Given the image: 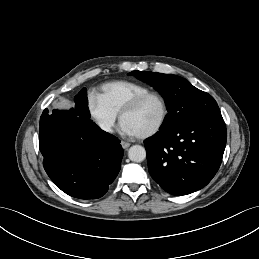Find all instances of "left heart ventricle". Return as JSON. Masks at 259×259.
<instances>
[{"mask_svg":"<svg viewBox=\"0 0 259 259\" xmlns=\"http://www.w3.org/2000/svg\"><path fill=\"white\" fill-rule=\"evenodd\" d=\"M162 113L160 101L156 98H149L135 111L125 115L123 121L129 123L138 134H143L157 125Z\"/></svg>","mask_w":259,"mask_h":259,"instance_id":"1","label":"left heart ventricle"}]
</instances>
